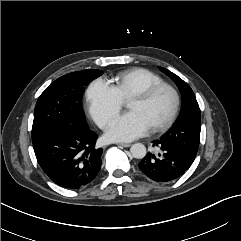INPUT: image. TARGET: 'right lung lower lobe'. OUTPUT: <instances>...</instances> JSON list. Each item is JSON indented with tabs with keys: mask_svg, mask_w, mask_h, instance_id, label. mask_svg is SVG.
<instances>
[{
	"mask_svg": "<svg viewBox=\"0 0 241 241\" xmlns=\"http://www.w3.org/2000/svg\"><path fill=\"white\" fill-rule=\"evenodd\" d=\"M89 127H63L33 142L37 161L59 186L79 189L91 183L101 168L102 149Z\"/></svg>",
	"mask_w": 241,
	"mask_h": 241,
	"instance_id": "right-lung-lower-lobe-1",
	"label": "right lung lower lobe"
}]
</instances>
